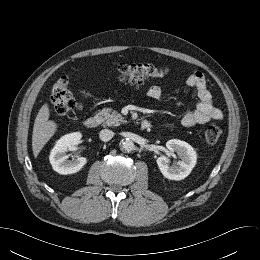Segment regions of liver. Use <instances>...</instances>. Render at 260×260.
Instances as JSON below:
<instances>
[{"instance_id":"6515ba94","label":"liver","mask_w":260,"mask_h":260,"mask_svg":"<svg viewBox=\"0 0 260 260\" xmlns=\"http://www.w3.org/2000/svg\"><path fill=\"white\" fill-rule=\"evenodd\" d=\"M49 106L45 103L39 110L32 134V150L35 157L38 156L44 145L50 140L57 130V124L49 120Z\"/></svg>"}]
</instances>
